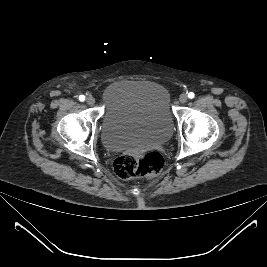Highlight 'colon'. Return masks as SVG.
Here are the masks:
<instances>
[{
	"label": "colon",
	"mask_w": 267,
	"mask_h": 267,
	"mask_svg": "<svg viewBox=\"0 0 267 267\" xmlns=\"http://www.w3.org/2000/svg\"><path fill=\"white\" fill-rule=\"evenodd\" d=\"M163 166L164 159L158 152L140 151L117 157L113 169L121 179L152 178L162 171Z\"/></svg>",
	"instance_id": "1"
}]
</instances>
